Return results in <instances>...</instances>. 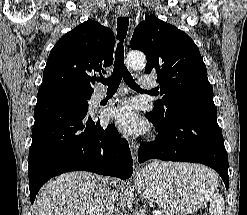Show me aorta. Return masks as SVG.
Instances as JSON below:
<instances>
[{
    "label": "aorta",
    "mask_w": 247,
    "mask_h": 215,
    "mask_svg": "<svg viewBox=\"0 0 247 215\" xmlns=\"http://www.w3.org/2000/svg\"><path fill=\"white\" fill-rule=\"evenodd\" d=\"M146 57L142 52H130L127 57V63L132 69H139L144 66Z\"/></svg>",
    "instance_id": "1"
}]
</instances>
